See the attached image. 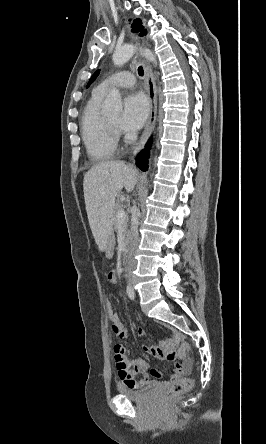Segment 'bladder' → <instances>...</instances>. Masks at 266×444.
<instances>
[{
  "instance_id": "bladder-1",
  "label": "bladder",
  "mask_w": 266,
  "mask_h": 444,
  "mask_svg": "<svg viewBox=\"0 0 266 444\" xmlns=\"http://www.w3.org/2000/svg\"><path fill=\"white\" fill-rule=\"evenodd\" d=\"M155 386H156L155 384H150L146 387H143L140 390H133L125 387H119V393L120 396L128 400L142 402L152 394Z\"/></svg>"
}]
</instances>
